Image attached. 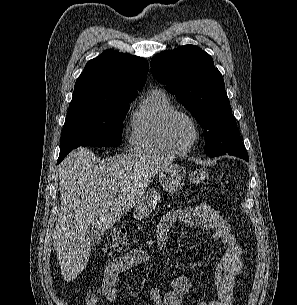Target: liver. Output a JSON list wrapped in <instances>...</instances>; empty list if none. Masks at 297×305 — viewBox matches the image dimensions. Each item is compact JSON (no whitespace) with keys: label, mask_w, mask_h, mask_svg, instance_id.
<instances>
[{"label":"liver","mask_w":297,"mask_h":305,"mask_svg":"<svg viewBox=\"0 0 297 305\" xmlns=\"http://www.w3.org/2000/svg\"><path fill=\"white\" fill-rule=\"evenodd\" d=\"M93 158L91 151L81 147L59 165L61 209L53 246L67 282L75 279L89 260L88 226H97L102 233L110 229L140 201L152 178L175 159L131 153L95 165Z\"/></svg>","instance_id":"6515ba94"}]
</instances>
